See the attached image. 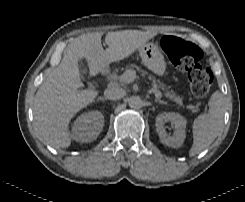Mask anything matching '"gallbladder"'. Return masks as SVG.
Here are the masks:
<instances>
[{"label":"gallbladder","mask_w":245,"mask_h":202,"mask_svg":"<svg viewBox=\"0 0 245 202\" xmlns=\"http://www.w3.org/2000/svg\"><path fill=\"white\" fill-rule=\"evenodd\" d=\"M79 69L81 71V74H83V75L87 74V66L85 65L84 62H81Z\"/></svg>","instance_id":"1"}]
</instances>
